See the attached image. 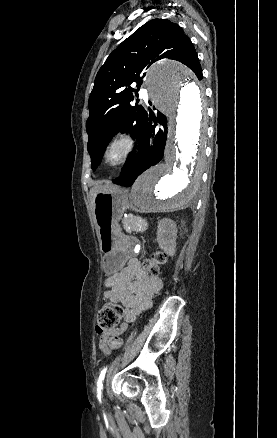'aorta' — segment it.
Returning a JSON list of instances; mask_svg holds the SVG:
<instances>
[{
    "label": "aorta",
    "instance_id": "1",
    "mask_svg": "<svg viewBox=\"0 0 277 438\" xmlns=\"http://www.w3.org/2000/svg\"><path fill=\"white\" fill-rule=\"evenodd\" d=\"M146 85L155 106L168 119L169 138L163 162L136 181L133 203L144 213L174 211L194 197L200 184L205 164L204 99L192 73L168 60L149 68Z\"/></svg>",
    "mask_w": 277,
    "mask_h": 438
}]
</instances>
